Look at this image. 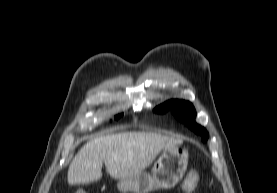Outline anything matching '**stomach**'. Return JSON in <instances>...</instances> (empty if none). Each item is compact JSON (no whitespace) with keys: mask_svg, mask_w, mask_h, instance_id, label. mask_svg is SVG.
<instances>
[{"mask_svg":"<svg viewBox=\"0 0 277 193\" xmlns=\"http://www.w3.org/2000/svg\"><path fill=\"white\" fill-rule=\"evenodd\" d=\"M188 165V152L177 146L165 148L155 162L151 174L142 171L120 179L117 188L123 193H149L156 189H170L182 179Z\"/></svg>","mask_w":277,"mask_h":193,"instance_id":"0dacf381","label":"stomach"}]
</instances>
